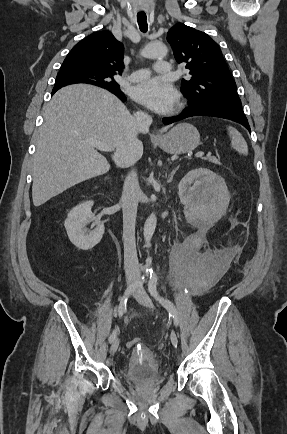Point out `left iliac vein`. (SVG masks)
I'll list each match as a JSON object with an SVG mask.
<instances>
[{
  "instance_id": "left-iliac-vein-1",
  "label": "left iliac vein",
  "mask_w": 287,
  "mask_h": 434,
  "mask_svg": "<svg viewBox=\"0 0 287 434\" xmlns=\"http://www.w3.org/2000/svg\"><path fill=\"white\" fill-rule=\"evenodd\" d=\"M134 298L143 306L152 307V301L146 291L141 287L134 293ZM170 340L174 347L178 345V337L175 331H171Z\"/></svg>"
}]
</instances>
